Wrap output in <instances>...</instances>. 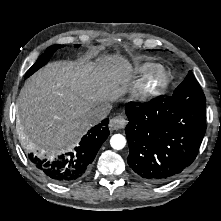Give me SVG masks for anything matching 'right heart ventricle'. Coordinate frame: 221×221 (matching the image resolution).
I'll return each instance as SVG.
<instances>
[{"label": "right heart ventricle", "instance_id": "obj_1", "mask_svg": "<svg viewBox=\"0 0 221 221\" xmlns=\"http://www.w3.org/2000/svg\"><path fill=\"white\" fill-rule=\"evenodd\" d=\"M155 65L151 62H145L138 67V71L146 74L149 70H151Z\"/></svg>", "mask_w": 221, "mask_h": 221}]
</instances>
